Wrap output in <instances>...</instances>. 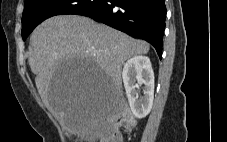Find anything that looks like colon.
Wrapping results in <instances>:
<instances>
[{
	"label": "colon",
	"instance_id": "obj_1",
	"mask_svg": "<svg viewBox=\"0 0 227 142\" xmlns=\"http://www.w3.org/2000/svg\"><path fill=\"white\" fill-rule=\"evenodd\" d=\"M131 130L135 126V120L124 110L118 111L110 121L102 128L100 142H122L120 127Z\"/></svg>",
	"mask_w": 227,
	"mask_h": 142
}]
</instances>
